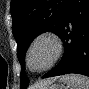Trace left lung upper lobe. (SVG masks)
Wrapping results in <instances>:
<instances>
[{
    "instance_id": "left-lung-upper-lobe-1",
    "label": "left lung upper lobe",
    "mask_w": 89,
    "mask_h": 89,
    "mask_svg": "<svg viewBox=\"0 0 89 89\" xmlns=\"http://www.w3.org/2000/svg\"><path fill=\"white\" fill-rule=\"evenodd\" d=\"M70 0H12V31L17 41V55L20 61L21 89H26L24 58L32 40L39 34L51 31L59 34Z\"/></svg>"
}]
</instances>
